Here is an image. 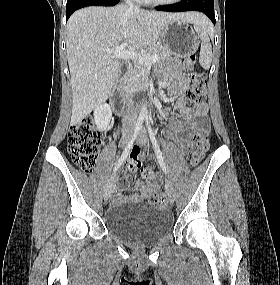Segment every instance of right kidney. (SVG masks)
<instances>
[{
  "instance_id": "1",
  "label": "right kidney",
  "mask_w": 280,
  "mask_h": 285,
  "mask_svg": "<svg viewBox=\"0 0 280 285\" xmlns=\"http://www.w3.org/2000/svg\"><path fill=\"white\" fill-rule=\"evenodd\" d=\"M93 115H94V122L97 128L100 131L106 130L109 126L112 117V111L110 106L106 103L96 106Z\"/></svg>"
}]
</instances>
